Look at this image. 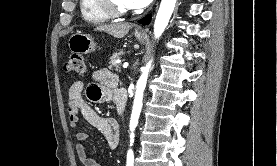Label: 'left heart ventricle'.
<instances>
[{
    "mask_svg": "<svg viewBox=\"0 0 277 166\" xmlns=\"http://www.w3.org/2000/svg\"><path fill=\"white\" fill-rule=\"evenodd\" d=\"M117 7L120 9H128L127 5L125 4L124 0H113Z\"/></svg>",
    "mask_w": 277,
    "mask_h": 166,
    "instance_id": "1",
    "label": "left heart ventricle"
}]
</instances>
